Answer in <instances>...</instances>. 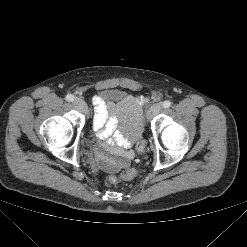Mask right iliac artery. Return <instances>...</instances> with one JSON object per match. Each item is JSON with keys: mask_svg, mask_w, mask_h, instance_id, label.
<instances>
[{"mask_svg": "<svg viewBox=\"0 0 247 247\" xmlns=\"http://www.w3.org/2000/svg\"><path fill=\"white\" fill-rule=\"evenodd\" d=\"M65 99L69 102H72L74 100V96L72 94L66 95Z\"/></svg>", "mask_w": 247, "mask_h": 247, "instance_id": "1", "label": "right iliac artery"}]
</instances>
